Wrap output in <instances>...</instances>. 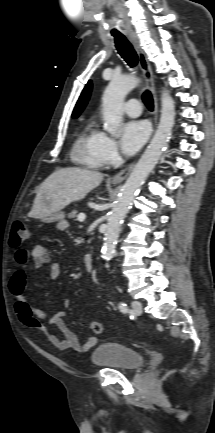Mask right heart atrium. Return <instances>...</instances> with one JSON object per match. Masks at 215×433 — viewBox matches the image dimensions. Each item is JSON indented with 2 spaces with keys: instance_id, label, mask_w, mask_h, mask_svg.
<instances>
[{
  "instance_id": "d8ad5b80",
  "label": "right heart atrium",
  "mask_w": 215,
  "mask_h": 433,
  "mask_svg": "<svg viewBox=\"0 0 215 433\" xmlns=\"http://www.w3.org/2000/svg\"><path fill=\"white\" fill-rule=\"evenodd\" d=\"M100 155L104 164L113 163L118 157V148L116 142L114 139L104 133L102 135L100 144Z\"/></svg>"
}]
</instances>
